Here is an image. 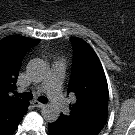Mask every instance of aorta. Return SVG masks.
<instances>
[{
	"label": "aorta",
	"instance_id": "1",
	"mask_svg": "<svg viewBox=\"0 0 135 135\" xmlns=\"http://www.w3.org/2000/svg\"><path fill=\"white\" fill-rule=\"evenodd\" d=\"M28 73L36 80L44 78L48 73L47 64L41 59H33L28 63ZM47 122H55L60 116V110L56 105L47 104L41 112Z\"/></svg>",
	"mask_w": 135,
	"mask_h": 135
}]
</instances>
